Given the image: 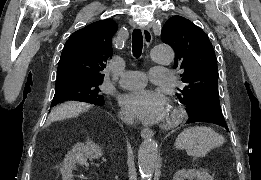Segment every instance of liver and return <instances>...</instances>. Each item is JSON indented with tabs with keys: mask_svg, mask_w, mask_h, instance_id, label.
Here are the masks:
<instances>
[{
	"mask_svg": "<svg viewBox=\"0 0 261 180\" xmlns=\"http://www.w3.org/2000/svg\"><path fill=\"white\" fill-rule=\"evenodd\" d=\"M63 106H67V104H63Z\"/></svg>",
	"mask_w": 261,
	"mask_h": 180,
	"instance_id": "6515ba94",
	"label": "liver"
}]
</instances>
